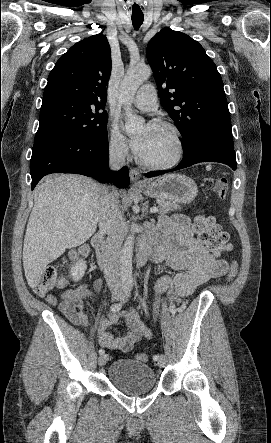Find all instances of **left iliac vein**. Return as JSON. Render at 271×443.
Returning a JSON list of instances; mask_svg holds the SVG:
<instances>
[{
  "label": "left iliac vein",
  "instance_id": "1",
  "mask_svg": "<svg viewBox=\"0 0 271 443\" xmlns=\"http://www.w3.org/2000/svg\"><path fill=\"white\" fill-rule=\"evenodd\" d=\"M158 366L163 368L166 364V359L164 355H160L158 362H157Z\"/></svg>",
  "mask_w": 271,
  "mask_h": 443
}]
</instances>
